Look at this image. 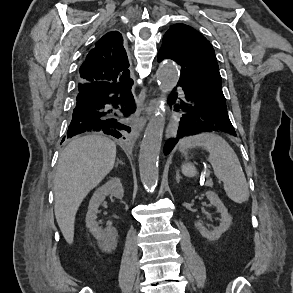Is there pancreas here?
Returning <instances> with one entry per match:
<instances>
[{
    "mask_svg": "<svg viewBox=\"0 0 293 293\" xmlns=\"http://www.w3.org/2000/svg\"><path fill=\"white\" fill-rule=\"evenodd\" d=\"M207 186L212 187L213 183L211 181L207 182Z\"/></svg>",
    "mask_w": 293,
    "mask_h": 293,
    "instance_id": "1",
    "label": "pancreas"
}]
</instances>
